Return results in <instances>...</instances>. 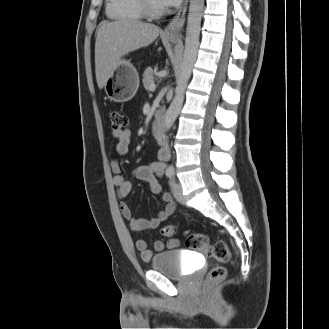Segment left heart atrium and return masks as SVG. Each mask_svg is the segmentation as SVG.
Here are the masks:
<instances>
[{
    "instance_id": "1",
    "label": "left heart atrium",
    "mask_w": 329,
    "mask_h": 329,
    "mask_svg": "<svg viewBox=\"0 0 329 329\" xmlns=\"http://www.w3.org/2000/svg\"><path fill=\"white\" fill-rule=\"evenodd\" d=\"M161 2L165 7H171L179 5L181 0H161Z\"/></svg>"
}]
</instances>
